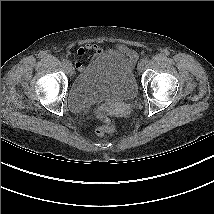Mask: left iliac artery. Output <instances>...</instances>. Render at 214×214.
I'll use <instances>...</instances> for the list:
<instances>
[{"label": "left iliac artery", "instance_id": "left-iliac-artery-1", "mask_svg": "<svg viewBox=\"0 0 214 214\" xmlns=\"http://www.w3.org/2000/svg\"><path fill=\"white\" fill-rule=\"evenodd\" d=\"M142 61L146 64L148 63V58H144Z\"/></svg>", "mask_w": 214, "mask_h": 214}]
</instances>
